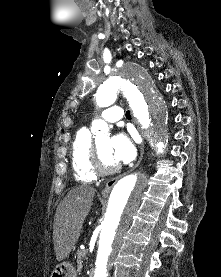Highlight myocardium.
<instances>
[{
    "label": "myocardium",
    "instance_id": "obj_1",
    "mask_svg": "<svg viewBox=\"0 0 221 277\" xmlns=\"http://www.w3.org/2000/svg\"><path fill=\"white\" fill-rule=\"evenodd\" d=\"M91 166L96 175H111L116 173L120 169V164L117 163L114 166L107 167L103 164L99 148L97 143L93 142L91 150Z\"/></svg>",
    "mask_w": 221,
    "mask_h": 277
}]
</instances>
